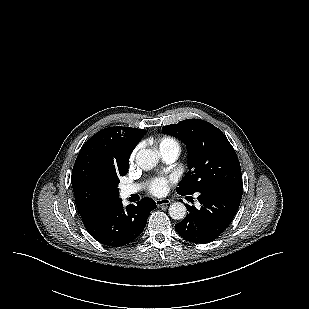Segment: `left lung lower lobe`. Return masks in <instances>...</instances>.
Returning a JSON list of instances; mask_svg holds the SVG:
<instances>
[{
  "label": "left lung lower lobe",
  "instance_id": "obj_1",
  "mask_svg": "<svg viewBox=\"0 0 309 309\" xmlns=\"http://www.w3.org/2000/svg\"><path fill=\"white\" fill-rule=\"evenodd\" d=\"M186 195V194H181ZM242 198L238 189H222L198 193L201 208L187 206L186 217L175 229L189 242L208 243L218 238L233 220Z\"/></svg>",
  "mask_w": 309,
  "mask_h": 309
}]
</instances>
